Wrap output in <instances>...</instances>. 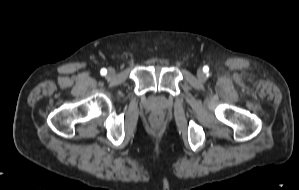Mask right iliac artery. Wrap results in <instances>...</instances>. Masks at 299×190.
Instances as JSON below:
<instances>
[{"mask_svg":"<svg viewBox=\"0 0 299 190\" xmlns=\"http://www.w3.org/2000/svg\"><path fill=\"white\" fill-rule=\"evenodd\" d=\"M100 73H101V75H106L107 70L105 68H103V69H101Z\"/></svg>","mask_w":299,"mask_h":190,"instance_id":"82829eb1","label":"right iliac artery"}]
</instances>
